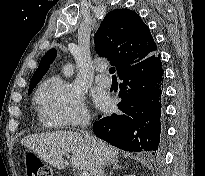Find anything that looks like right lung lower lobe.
I'll use <instances>...</instances> for the list:
<instances>
[{
  "mask_svg": "<svg viewBox=\"0 0 205 176\" xmlns=\"http://www.w3.org/2000/svg\"><path fill=\"white\" fill-rule=\"evenodd\" d=\"M123 81L118 114L98 116L93 130L97 137L125 151L159 153L163 140L164 77L159 54L128 67Z\"/></svg>",
  "mask_w": 205,
  "mask_h": 176,
  "instance_id": "obj_1",
  "label": "right lung lower lobe"
}]
</instances>
